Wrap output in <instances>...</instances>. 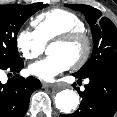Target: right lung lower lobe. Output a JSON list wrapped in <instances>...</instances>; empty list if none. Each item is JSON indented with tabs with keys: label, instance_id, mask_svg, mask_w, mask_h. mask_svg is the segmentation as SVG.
Here are the masks:
<instances>
[{
	"label": "right lung lower lobe",
	"instance_id": "obj_1",
	"mask_svg": "<svg viewBox=\"0 0 117 117\" xmlns=\"http://www.w3.org/2000/svg\"><path fill=\"white\" fill-rule=\"evenodd\" d=\"M23 61L0 65V69L13 72L15 76L6 84L0 82V117H24L31 94L41 88V83L34 77L23 78L18 73Z\"/></svg>",
	"mask_w": 117,
	"mask_h": 117
}]
</instances>
